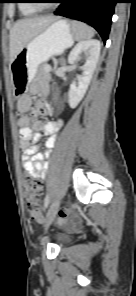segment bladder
I'll list each match as a JSON object with an SVG mask.
<instances>
[{"mask_svg": "<svg viewBox=\"0 0 136 296\" xmlns=\"http://www.w3.org/2000/svg\"><path fill=\"white\" fill-rule=\"evenodd\" d=\"M63 240H65V237H60L59 238V241H63Z\"/></svg>", "mask_w": 136, "mask_h": 296, "instance_id": "31cf9c89", "label": "bladder"}]
</instances>
